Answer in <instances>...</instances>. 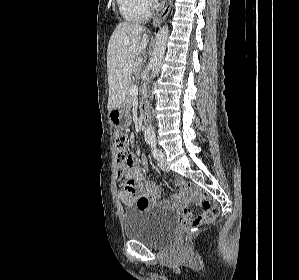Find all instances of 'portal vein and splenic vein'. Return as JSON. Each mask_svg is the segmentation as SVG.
<instances>
[{
    "label": "portal vein and splenic vein",
    "mask_w": 299,
    "mask_h": 280,
    "mask_svg": "<svg viewBox=\"0 0 299 280\" xmlns=\"http://www.w3.org/2000/svg\"><path fill=\"white\" fill-rule=\"evenodd\" d=\"M130 95L135 96L138 94V87L137 85H133L129 90Z\"/></svg>",
    "instance_id": "1"
}]
</instances>
